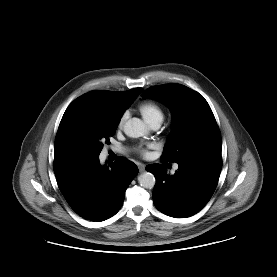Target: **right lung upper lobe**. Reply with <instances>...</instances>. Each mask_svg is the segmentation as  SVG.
<instances>
[{"label":"right lung upper lobe","instance_id":"obj_1","mask_svg":"<svg viewBox=\"0 0 277 277\" xmlns=\"http://www.w3.org/2000/svg\"><path fill=\"white\" fill-rule=\"evenodd\" d=\"M142 90V88H135L125 92L91 91L86 94L91 97L94 105L106 110H111L115 116H122L125 109L128 108ZM54 153L55 158L68 155H81L70 146L62 125H59L58 128Z\"/></svg>","mask_w":277,"mask_h":277}]
</instances>
